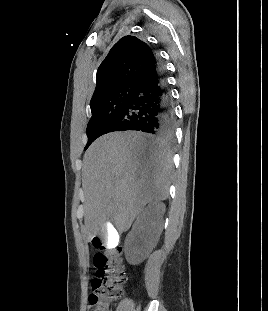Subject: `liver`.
<instances>
[{
	"label": "liver",
	"mask_w": 268,
	"mask_h": 311,
	"mask_svg": "<svg viewBox=\"0 0 268 311\" xmlns=\"http://www.w3.org/2000/svg\"><path fill=\"white\" fill-rule=\"evenodd\" d=\"M172 158L142 133L113 132L95 140L83 157L84 234L107 236L113 224L127 231L144 206L169 194Z\"/></svg>",
	"instance_id": "obj_1"
}]
</instances>
